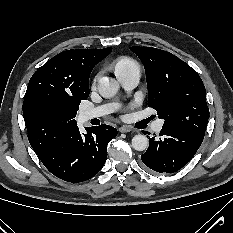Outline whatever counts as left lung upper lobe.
<instances>
[{
    "label": "left lung upper lobe",
    "instance_id": "5c2ea615",
    "mask_svg": "<svg viewBox=\"0 0 233 233\" xmlns=\"http://www.w3.org/2000/svg\"><path fill=\"white\" fill-rule=\"evenodd\" d=\"M145 67L148 106L164 125L204 136L209 119L206 92L197 72L175 55L151 47H130Z\"/></svg>",
    "mask_w": 233,
    "mask_h": 233
}]
</instances>
